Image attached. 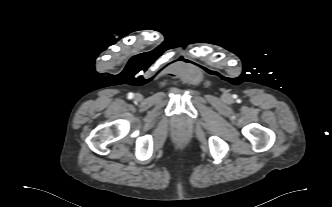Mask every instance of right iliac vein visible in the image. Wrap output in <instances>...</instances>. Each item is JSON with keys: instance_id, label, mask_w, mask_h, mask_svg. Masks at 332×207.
<instances>
[{"instance_id": "63e3f726", "label": "right iliac vein", "mask_w": 332, "mask_h": 207, "mask_svg": "<svg viewBox=\"0 0 332 207\" xmlns=\"http://www.w3.org/2000/svg\"><path fill=\"white\" fill-rule=\"evenodd\" d=\"M135 99L138 100V101L141 100L142 99V95L141 94H136L135 95Z\"/></svg>"}]
</instances>
